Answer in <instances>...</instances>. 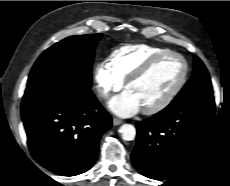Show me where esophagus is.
<instances>
[{
  "label": "esophagus",
  "mask_w": 230,
  "mask_h": 186,
  "mask_svg": "<svg viewBox=\"0 0 230 186\" xmlns=\"http://www.w3.org/2000/svg\"><path fill=\"white\" fill-rule=\"evenodd\" d=\"M122 123H123L122 120H120L118 118H113V125L114 126L121 125Z\"/></svg>",
  "instance_id": "34e87169"
}]
</instances>
